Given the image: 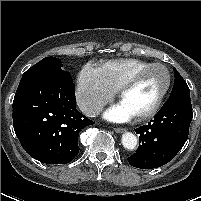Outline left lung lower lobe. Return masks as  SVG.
Wrapping results in <instances>:
<instances>
[{
  "label": "left lung lower lobe",
  "instance_id": "1",
  "mask_svg": "<svg viewBox=\"0 0 201 201\" xmlns=\"http://www.w3.org/2000/svg\"><path fill=\"white\" fill-rule=\"evenodd\" d=\"M191 120L190 92L170 96L152 122L135 129L139 147L128 157L129 164L152 169L170 162L185 144Z\"/></svg>",
  "mask_w": 201,
  "mask_h": 201
}]
</instances>
